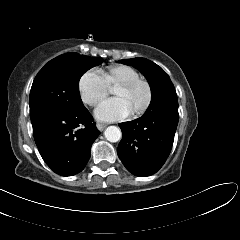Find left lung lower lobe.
<instances>
[{"mask_svg":"<svg viewBox=\"0 0 240 240\" xmlns=\"http://www.w3.org/2000/svg\"><path fill=\"white\" fill-rule=\"evenodd\" d=\"M178 124V110L159 108L133 121L120 123L122 140L117 154L135 176L156 173L167 160Z\"/></svg>","mask_w":240,"mask_h":240,"instance_id":"left-lung-lower-lobe-1","label":"left lung lower lobe"}]
</instances>
